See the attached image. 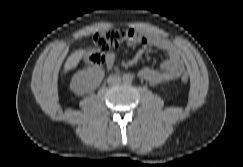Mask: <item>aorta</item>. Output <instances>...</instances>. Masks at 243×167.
<instances>
[{"mask_svg": "<svg viewBox=\"0 0 243 167\" xmlns=\"http://www.w3.org/2000/svg\"><path fill=\"white\" fill-rule=\"evenodd\" d=\"M122 80L125 83H131L132 80H133V75L126 73V74L123 75Z\"/></svg>", "mask_w": 243, "mask_h": 167, "instance_id": "1", "label": "aorta"}]
</instances>
